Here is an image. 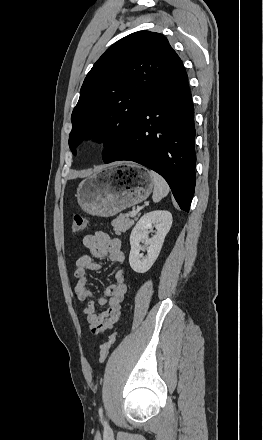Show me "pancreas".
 <instances>
[{
  "label": "pancreas",
  "instance_id": "1",
  "mask_svg": "<svg viewBox=\"0 0 263 440\" xmlns=\"http://www.w3.org/2000/svg\"><path fill=\"white\" fill-rule=\"evenodd\" d=\"M129 216L131 215H119L112 221L111 224L116 235H121V233L126 232L133 226L134 221L130 219Z\"/></svg>",
  "mask_w": 263,
  "mask_h": 440
}]
</instances>
